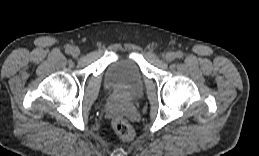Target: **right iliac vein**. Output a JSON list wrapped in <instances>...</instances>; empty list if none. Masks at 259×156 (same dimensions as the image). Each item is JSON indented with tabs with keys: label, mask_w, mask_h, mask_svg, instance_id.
Masks as SVG:
<instances>
[{
	"label": "right iliac vein",
	"mask_w": 259,
	"mask_h": 156,
	"mask_svg": "<svg viewBox=\"0 0 259 156\" xmlns=\"http://www.w3.org/2000/svg\"><path fill=\"white\" fill-rule=\"evenodd\" d=\"M70 53L73 57H78L80 54V49L78 47H72Z\"/></svg>",
	"instance_id": "right-iliac-vein-1"
}]
</instances>
